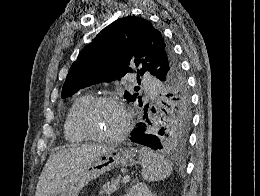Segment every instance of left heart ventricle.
I'll use <instances>...</instances> for the list:
<instances>
[{
  "label": "left heart ventricle",
  "mask_w": 260,
  "mask_h": 196,
  "mask_svg": "<svg viewBox=\"0 0 260 196\" xmlns=\"http://www.w3.org/2000/svg\"><path fill=\"white\" fill-rule=\"evenodd\" d=\"M123 124L124 114L115 104H99L85 117V126L98 135L114 134Z\"/></svg>",
  "instance_id": "left-heart-ventricle-1"
}]
</instances>
